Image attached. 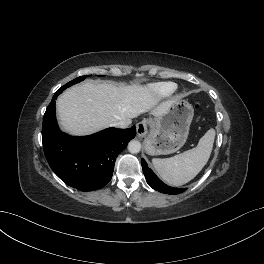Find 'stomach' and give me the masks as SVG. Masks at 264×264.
I'll list each match as a JSON object with an SVG mask.
<instances>
[{
  "instance_id": "obj_1",
  "label": "stomach",
  "mask_w": 264,
  "mask_h": 264,
  "mask_svg": "<svg viewBox=\"0 0 264 264\" xmlns=\"http://www.w3.org/2000/svg\"><path fill=\"white\" fill-rule=\"evenodd\" d=\"M194 109L186 100L176 99L166 113L153 120L151 131L145 139L149 155L171 154L186 142Z\"/></svg>"
}]
</instances>
